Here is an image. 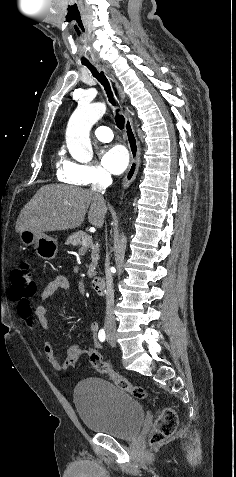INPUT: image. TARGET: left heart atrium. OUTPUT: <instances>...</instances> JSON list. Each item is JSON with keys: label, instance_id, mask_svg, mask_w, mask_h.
<instances>
[{"label": "left heart atrium", "instance_id": "obj_1", "mask_svg": "<svg viewBox=\"0 0 236 477\" xmlns=\"http://www.w3.org/2000/svg\"><path fill=\"white\" fill-rule=\"evenodd\" d=\"M101 161L111 173L120 174L128 166L129 154L125 147L113 145L102 152Z\"/></svg>", "mask_w": 236, "mask_h": 477}]
</instances>
